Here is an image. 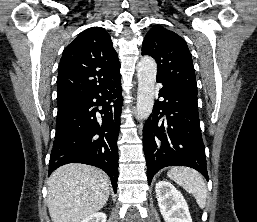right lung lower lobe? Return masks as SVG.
Segmentation results:
<instances>
[{
  "instance_id": "98d812e1",
  "label": "right lung lower lobe",
  "mask_w": 257,
  "mask_h": 222,
  "mask_svg": "<svg viewBox=\"0 0 257 222\" xmlns=\"http://www.w3.org/2000/svg\"><path fill=\"white\" fill-rule=\"evenodd\" d=\"M118 73L92 94L58 110L49 174L68 163H84L104 170L117 190L122 100ZM96 106H102L98 111ZM100 116H96V112Z\"/></svg>"
}]
</instances>
